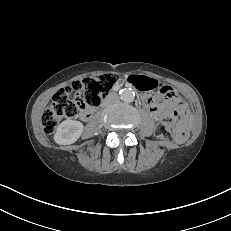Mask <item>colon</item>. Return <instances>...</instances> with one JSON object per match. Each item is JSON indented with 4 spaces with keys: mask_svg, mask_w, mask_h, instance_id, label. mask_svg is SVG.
<instances>
[{
    "mask_svg": "<svg viewBox=\"0 0 231 231\" xmlns=\"http://www.w3.org/2000/svg\"><path fill=\"white\" fill-rule=\"evenodd\" d=\"M119 81V76L114 73H104L91 76L82 80H76L67 87L58 91L43 113L41 126L45 133H52L60 121L75 117L79 111L85 108H95L103 101L114 85ZM132 85L139 91H150L157 86L141 77H134ZM159 92L165 97L170 96L171 88L167 85H159ZM179 123H174L171 118L162 120L156 134L165 141H181L188 134L184 121L187 118V110L179 105L175 111Z\"/></svg>",
    "mask_w": 231,
    "mask_h": 231,
    "instance_id": "obj_1",
    "label": "colon"
}]
</instances>
